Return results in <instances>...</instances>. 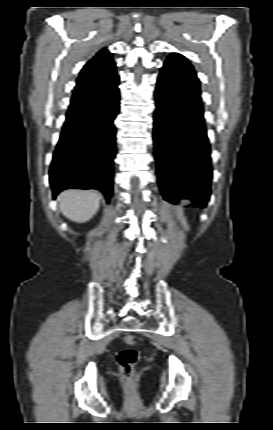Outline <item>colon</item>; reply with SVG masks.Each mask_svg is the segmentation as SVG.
<instances>
[{
  "label": "colon",
  "instance_id": "5ec220e1",
  "mask_svg": "<svg viewBox=\"0 0 273 430\" xmlns=\"http://www.w3.org/2000/svg\"><path fill=\"white\" fill-rule=\"evenodd\" d=\"M123 341L126 347L118 353L117 363L123 379L130 384L134 381L135 366L140 357L139 351L135 348L138 338L133 334H125Z\"/></svg>",
  "mask_w": 273,
  "mask_h": 430
}]
</instances>
